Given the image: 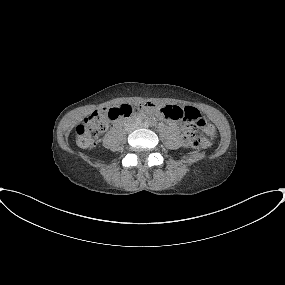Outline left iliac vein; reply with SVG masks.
<instances>
[{
    "label": "left iliac vein",
    "instance_id": "left-iliac-vein-1",
    "mask_svg": "<svg viewBox=\"0 0 285 285\" xmlns=\"http://www.w3.org/2000/svg\"><path fill=\"white\" fill-rule=\"evenodd\" d=\"M141 126H142L141 124L138 125V127H141Z\"/></svg>",
    "mask_w": 285,
    "mask_h": 285
}]
</instances>
